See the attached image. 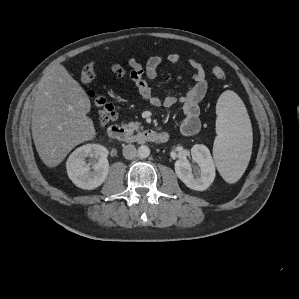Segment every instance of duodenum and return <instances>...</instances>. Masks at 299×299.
Here are the masks:
<instances>
[{
    "label": "duodenum",
    "instance_id": "410a0bca",
    "mask_svg": "<svg viewBox=\"0 0 299 299\" xmlns=\"http://www.w3.org/2000/svg\"><path fill=\"white\" fill-rule=\"evenodd\" d=\"M107 133L110 138L125 143L138 141L165 143L168 140V135L165 132L145 130L140 133H132L125 127L118 124L111 125L108 128Z\"/></svg>",
    "mask_w": 299,
    "mask_h": 299
}]
</instances>
